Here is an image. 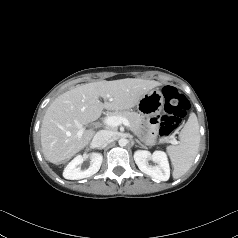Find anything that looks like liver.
I'll list each match as a JSON object with an SVG mask.
<instances>
[{
	"label": "liver",
	"instance_id": "liver-1",
	"mask_svg": "<svg viewBox=\"0 0 238 238\" xmlns=\"http://www.w3.org/2000/svg\"><path fill=\"white\" fill-rule=\"evenodd\" d=\"M154 80L126 78L98 81L58 96L48 107L41 125V146L45 159L60 164L84 149L95 134L80 128L97 120L103 109L122 111L138 104L150 90L159 86ZM104 99V103L99 100Z\"/></svg>",
	"mask_w": 238,
	"mask_h": 238
}]
</instances>
